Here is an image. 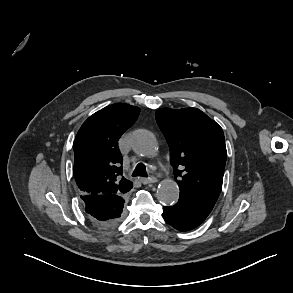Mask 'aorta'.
<instances>
[{"instance_id":"aorta-1","label":"aorta","mask_w":293,"mask_h":293,"mask_svg":"<svg viewBox=\"0 0 293 293\" xmlns=\"http://www.w3.org/2000/svg\"><path fill=\"white\" fill-rule=\"evenodd\" d=\"M133 150L144 157L152 158L158 153V144L155 136L145 129L136 130L131 137ZM158 199L166 204L173 205L179 199V188L172 180H163L157 190Z\"/></svg>"}]
</instances>
